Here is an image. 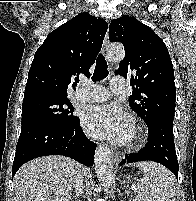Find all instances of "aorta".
I'll list each match as a JSON object with an SVG mask.
<instances>
[{
  "label": "aorta",
  "instance_id": "obj_1",
  "mask_svg": "<svg viewBox=\"0 0 196 201\" xmlns=\"http://www.w3.org/2000/svg\"><path fill=\"white\" fill-rule=\"evenodd\" d=\"M107 58L112 62H120L125 56L124 47L120 44L111 45L106 52ZM95 171L98 180L105 188H109L113 182V165L111 152L107 145H100L94 156Z\"/></svg>",
  "mask_w": 196,
  "mask_h": 201
}]
</instances>
